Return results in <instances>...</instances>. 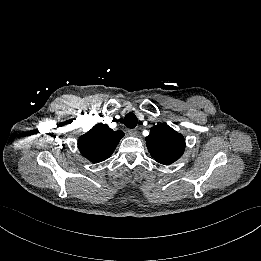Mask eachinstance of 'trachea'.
<instances>
[{
    "label": "trachea",
    "mask_w": 261,
    "mask_h": 261,
    "mask_svg": "<svg viewBox=\"0 0 261 261\" xmlns=\"http://www.w3.org/2000/svg\"><path fill=\"white\" fill-rule=\"evenodd\" d=\"M123 123L126 127L132 129L137 126L138 120L136 115L130 112L124 117Z\"/></svg>",
    "instance_id": "trachea-1"
}]
</instances>
